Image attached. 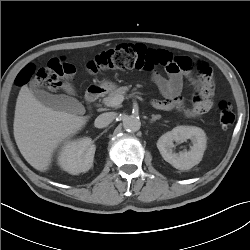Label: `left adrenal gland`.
<instances>
[{
    "label": "left adrenal gland",
    "instance_id": "obj_1",
    "mask_svg": "<svg viewBox=\"0 0 250 250\" xmlns=\"http://www.w3.org/2000/svg\"><path fill=\"white\" fill-rule=\"evenodd\" d=\"M161 118V115H152V118H151V120H150V122L152 123V122H154V121H156V120H159Z\"/></svg>",
    "mask_w": 250,
    "mask_h": 250
}]
</instances>
